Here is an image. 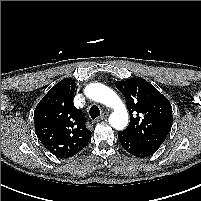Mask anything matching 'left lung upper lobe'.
I'll list each match as a JSON object with an SVG mask.
<instances>
[{
    "mask_svg": "<svg viewBox=\"0 0 201 201\" xmlns=\"http://www.w3.org/2000/svg\"><path fill=\"white\" fill-rule=\"evenodd\" d=\"M115 86L124 95L130 114L123 132L156 151L172 126L169 100L142 78L117 81Z\"/></svg>",
    "mask_w": 201,
    "mask_h": 201,
    "instance_id": "left-lung-upper-lobe-1",
    "label": "left lung upper lobe"
}]
</instances>
